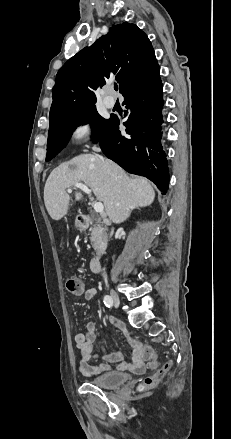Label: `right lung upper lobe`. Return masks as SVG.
I'll return each mask as SVG.
<instances>
[{
	"mask_svg": "<svg viewBox=\"0 0 231 439\" xmlns=\"http://www.w3.org/2000/svg\"><path fill=\"white\" fill-rule=\"evenodd\" d=\"M159 73L145 33L135 24L113 25L107 35L79 51L58 71L52 90L50 125L95 107L94 90L112 76L124 96Z\"/></svg>",
	"mask_w": 231,
	"mask_h": 439,
	"instance_id": "1",
	"label": "right lung upper lobe"
}]
</instances>
